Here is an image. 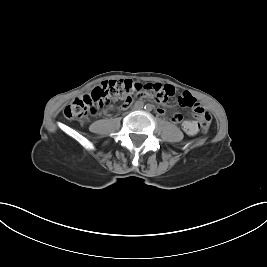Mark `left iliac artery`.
Masks as SVG:
<instances>
[{
    "label": "left iliac artery",
    "instance_id": "obj_1",
    "mask_svg": "<svg viewBox=\"0 0 267 267\" xmlns=\"http://www.w3.org/2000/svg\"><path fill=\"white\" fill-rule=\"evenodd\" d=\"M146 110H151L152 109V106L150 105V104H147V105H145V107H144Z\"/></svg>",
    "mask_w": 267,
    "mask_h": 267
}]
</instances>
